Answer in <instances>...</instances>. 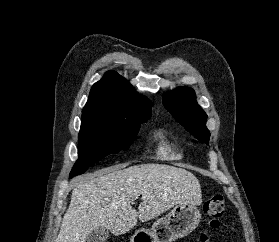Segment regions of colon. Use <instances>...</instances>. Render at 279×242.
I'll return each instance as SVG.
<instances>
[{
	"instance_id": "colon-1",
	"label": "colon",
	"mask_w": 279,
	"mask_h": 242,
	"mask_svg": "<svg viewBox=\"0 0 279 242\" xmlns=\"http://www.w3.org/2000/svg\"><path fill=\"white\" fill-rule=\"evenodd\" d=\"M225 209V199L222 194H214L208 197L204 203L205 222L211 229H217L220 226V219ZM199 242H209L207 233H201Z\"/></svg>"
}]
</instances>
